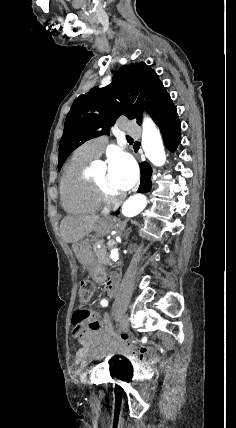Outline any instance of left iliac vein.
<instances>
[{
	"instance_id": "obj_1",
	"label": "left iliac vein",
	"mask_w": 236,
	"mask_h": 428,
	"mask_svg": "<svg viewBox=\"0 0 236 428\" xmlns=\"http://www.w3.org/2000/svg\"><path fill=\"white\" fill-rule=\"evenodd\" d=\"M130 326V320L128 317H123L121 320V323L119 325V328L115 331L117 334L118 333H126L127 332V328Z\"/></svg>"
}]
</instances>
